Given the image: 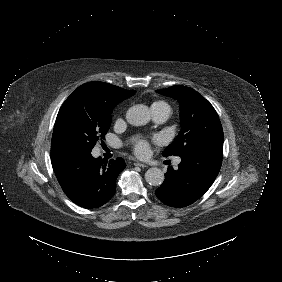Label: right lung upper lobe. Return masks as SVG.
Returning a JSON list of instances; mask_svg holds the SVG:
<instances>
[{
    "label": "right lung upper lobe",
    "mask_w": 282,
    "mask_h": 282,
    "mask_svg": "<svg viewBox=\"0 0 282 282\" xmlns=\"http://www.w3.org/2000/svg\"><path fill=\"white\" fill-rule=\"evenodd\" d=\"M110 86H114L104 82H89L81 85L77 88V90H95V89H103L108 88Z\"/></svg>",
    "instance_id": "right-lung-upper-lobe-1"
}]
</instances>
